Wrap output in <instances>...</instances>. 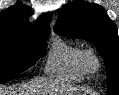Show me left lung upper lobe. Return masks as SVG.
I'll return each instance as SVG.
<instances>
[{
  "instance_id": "obj_1",
  "label": "left lung upper lobe",
  "mask_w": 119,
  "mask_h": 95,
  "mask_svg": "<svg viewBox=\"0 0 119 95\" xmlns=\"http://www.w3.org/2000/svg\"><path fill=\"white\" fill-rule=\"evenodd\" d=\"M54 31L94 44L106 65L107 94L119 95L118 32L116 25L101 6L84 0H75L65 5L58 16Z\"/></svg>"
}]
</instances>
